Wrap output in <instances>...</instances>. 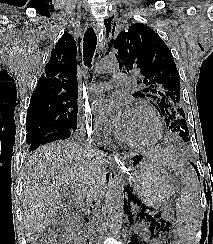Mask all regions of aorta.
Listing matches in <instances>:
<instances>
[{
  "mask_svg": "<svg viewBox=\"0 0 213 244\" xmlns=\"http://www.w3.org/2000/svg\"><path fill=\"white\" fill-rule=\"evenodd\" d=\"M119 63L114 57L103 58L96 66L98 75L117 72ZM124 207V183L121 177L112 180L106 198V211L113 235L119 238Z\"/></svg>",
  "mask_w": 213,
  "mask_h": 244,
  "instance_id": "obj_1",
  "label": "aorta"
}]
</instances>
